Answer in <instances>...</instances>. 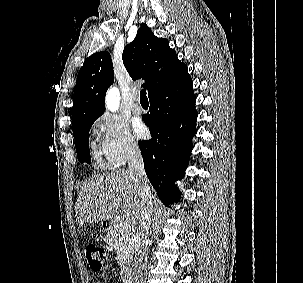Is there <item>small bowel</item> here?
<instances>
[{"label": "small bowel", "mask_w": 303, "mask_h": 283, "mask_svg": "<svg viewBox=\"0 0 303 283\" xmlns=\"http://www.w3.org/2000/svg\"><path fill=\"white\" fill-rule=\"evenodd\" d=\"M109 269H110V266H106V267L104 268V270L102 271V273H101V275H100V278H102V277L109 271Z\"/></svg>", "instance_id": "c3829d8e"}]
</instances>
